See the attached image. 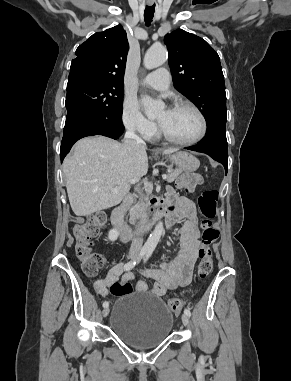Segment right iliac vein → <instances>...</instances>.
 I'll use <instances>...</instances> for the list:
<instances>
[{
  "instance_id": "1",
  "label": "right iliac vein",
  "mask_w": 291,
  "mask_h": 381,
  "mask_svg": "<svg viewBox=\"0 0 291 381\" xmlns=\"http://www.w3.org/2000/svg\"><path fill=\"white\" fill-rule=\"evenodd\" d=\"M131 257L134 258V256H131ZM102 314L104 317H106L109 314V308L108 307L104 308Z\"/></svg>"
}]
</instances>
